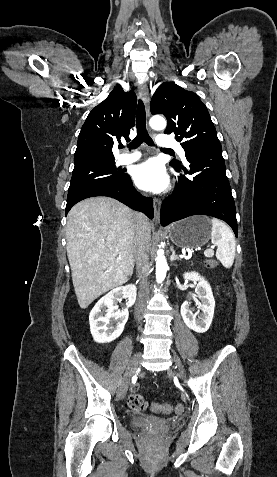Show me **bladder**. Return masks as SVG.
Instances as JSON below:
<instances>
[{
    "mask_svg": "<svg viewBox=\"0 0 277 477\" xmlns=\"http://www.w3.org/2000/svg\"><path fill=\"white\" fill-rule=\"evenodd\" d=\"M162 423H164L162 419L142 414L134 415L130 418V424L136 428Z\"/></svg>",
    "mask_w": 277,
    "mask_h": 477,
    "instance_id": "1",
    "label": "bladder"
}]
</instances>
